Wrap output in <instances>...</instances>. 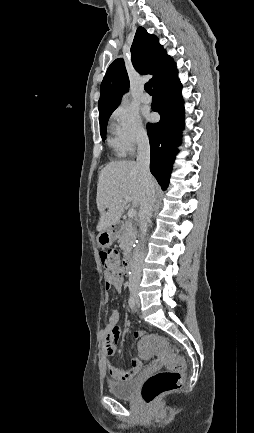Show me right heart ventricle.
<instances>
[{
    "label": "right heart ventricle",
    "instance_id": "1",
    "mask_svg": "<svg viewBox=\"0 0 254 433\" xmlns=\"http://www.w3.org/2000/svg\"><path fill=\"white\" fill-rule=\"evenodd\" d=\"M110 146L117 152L120 153L118 145H117V141L115 140V138H109L108 140Z\"/></svg>",
    "mask_w": 254,
    "mask_h": 433
}]
</instances>
